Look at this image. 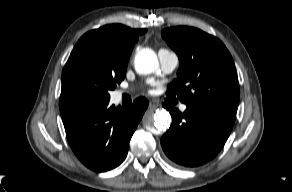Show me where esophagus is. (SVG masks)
I'll use <instances>...</instances> for the list:
<instances>
[{"label":"esophagus","mask_w":292,"mask_h":192,"mask_svg":"<svg viewBox=\"0 0 292 192\" xmlns=\"http://www.w3.org/2000/svg\"><path fill=\"white\" fill-rule=\"evenodd\" d=\"M157 107H159V103L158 102H156L154 100L149 102V108L150 109H155Z\"/></svg>","instance_id":"34e87169"}]
</instances>
